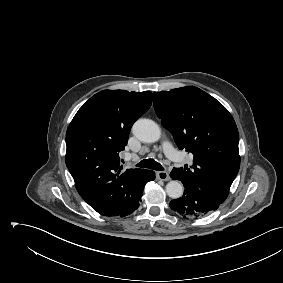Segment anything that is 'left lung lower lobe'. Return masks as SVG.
<instances>
[{
  "label": "left lung lower lobe",
  "mask_w": 283,
  "mask_h": 283,
  "mask_svg": "<svg viewBox=\"0 0 283 283\" xmlns=\"http://www.w3.org/2000/svg\"><path fill=\"white\" fill-rule=\"evenodd\" d=\"M170 177L174 180L178 179L172 172ZM183 185L185 187L183 196L170 202V208L183 218L206 216L222 204L196 186L185 183Z\"/></svg>",
  "instance_id": "obj_1"
}]
</instances>
